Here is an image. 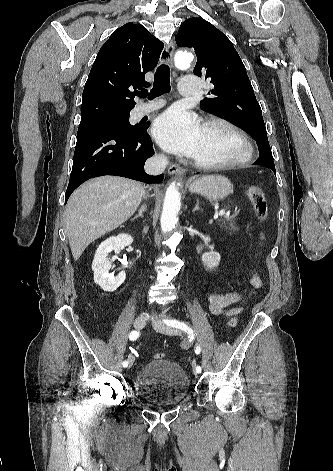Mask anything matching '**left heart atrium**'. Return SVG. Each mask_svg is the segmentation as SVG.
<instances>
[{
  "label": "left heart atrium",
  "mask_w": 333,
  "mask_h": 471,
  "mask_svg": "<svg viewBox=\"0 0 333 471\" xmlns=\"http://www.w3.org/2000/svg\"><path fill=\"white\" fill-rule=\"evenodd\" d=\"M152 132L165 150L194 157L200 143L202 125L194 113L171 108L155 120Z\"/></svg>",
  "instance_id": "39dd6f15"
}]
</instances>
